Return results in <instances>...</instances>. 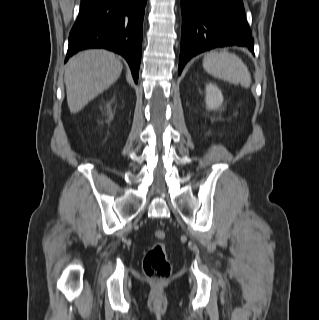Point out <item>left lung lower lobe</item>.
Instances as JSON below:
<instances>
[{
    "label": "left lung lower lobe",
    "instance_id": "obj_1",
    "mask_svg": "<svg viewBox=\"0 0 319 320\" xmlns=\"http://www.w3.org/2000/svg\"><path fill=\"white\" fill-rule=\"evenodd\" d=\"M181 11L179 74L190 58L216 47L243 46L254 53L242 0H181Z\"/></svg>",
    "mask_w": 319,
    "mask_h": 320
}]
</instances>
